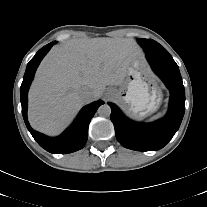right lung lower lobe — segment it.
I'll list each match as a JSON object with an SVG mask.
<instances>
[{
    "label": "right lung lower lobe",
    "instance_id": "1",
    "mask_svg": "<svg viewBox=\"0 0 207 207\" xmlns=\"http://www.w3.org/2000/svg\"><path fill=\"white\" fill-rule=\"evenodd\" d=\"M55 43L56 42L49 43L48 45L41 48L30 60L23 77L20 95L22 115L27 129L29 130L33 138L42 148H44L48 152L65 154L75 152L84 147L88 138V126L91 118L94 116L96 110L102 104H104V102L99 100L83 107L74 123L62 135L58 137H47L31 128L27 120L28 90L34 78L35 71L38 65Z\"/></svg>",
    "mask_w": 207,
    "mask_h": 207
}]
</instances>
